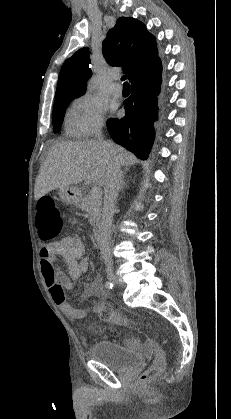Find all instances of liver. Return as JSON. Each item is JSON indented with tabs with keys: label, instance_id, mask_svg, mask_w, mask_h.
Masks as SVG:
<instances>
[{
	"label": "liver",
	"instance_id": "6515ba94",
	"mask_svg": "<svg viewBox=\"0 0 231 419\" xmlns=\"http://www.w3.org/2000/svg\"><path fill=\"white\" fill-rule=\"evenodd\" d=\"M111 159L126 169L138 162L131 152L110 141L102 144L95 140H86L54 145L36 178L35 200L52 190L82 181L103 186Z\"/></svg>",
	"mask_w": 231,
	"mask_h": 419
}]
</instances>
